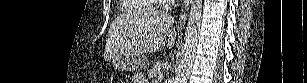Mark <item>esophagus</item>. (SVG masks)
Returning <instances> with one entry per match:
<instances>
[{"instance_id": "34e87169", "label": "esophagus", "mask_w": 307, "mask_h": 83, "mask_svg": "<svg viewBox=\"0 0 307 83\" xmlns=\"http://www.w3.org/2000/svg\"><path fill=\"white\" fill-rule=\"evenodd\" d=\"M192 0H185L179 15L178 23L181 27H184L187 21L188 13H189V7Z\"/></svg>"}]
</instances>
